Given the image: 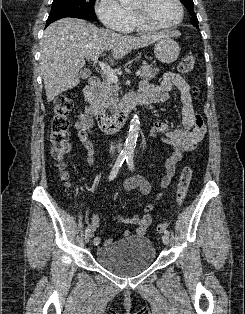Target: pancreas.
Masks as SVG:
<instances>
[{"mask_svg":"<svg viewBox=\"0 0 245 314\" xmlns=\"http://www.w3.org/2000/svg\"><path fill=\"white\" fill-rule=\"evenodd\" d=\"M139 71L141 72L140 78L149 81L156 76L159 69L144 64L140 67ZM119 89L117 84H113V82L108 79L104 80L97 91L95 100L96 104L104 111L114 112L118 103Z\"/></svg>","mask_w":245,"mask_h":314,"instance_id":"cf45deb5","label":"pancreas"}]
</instances>
